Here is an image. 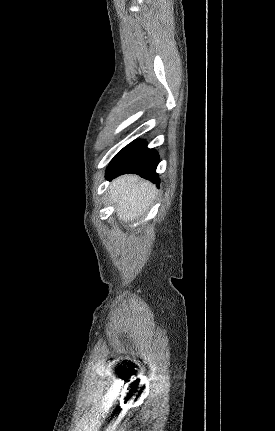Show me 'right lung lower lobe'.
I'll use <instances>...</instances> for the list:
<instances>
[{
    "instance_id": "right-lung-lower-lobe-1",
    "label": "right lung lower lobe",
    "mask_w": 275,
    "mask_h": 431,
    "mask_svg": "<svg viewBox=\"0 0 275 431\" xmlns=\"http://www.w3.org/2000/svg\"><path fill=\"white\" fill-rule=\"evenodd\" d=\"M158 162L159 155L156 150L147 148L144 140H135L113 158L105 177L110 180L121 174L134 173L159 186L156 173Z\"/></svg>"
}]
</instances>
